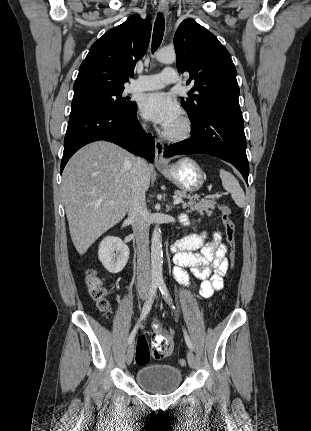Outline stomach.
<instances>
[{
  "mask_svg": "<svg viewBox=\"0 0 311 431\" xmlns=\"http://www.w3.org/2000/svg\"><path fill=\"white\" fill-rule=\"evenodd\" d=\"M157 170L181 192H197L204 184L203 170L191 158H181L176 164Z\"/></svg>",
  "mask_w": 311,
  "mask_h": 431,
  "instance_id": "stomach-1",
  "label": "stomach"
}]
</instances>
